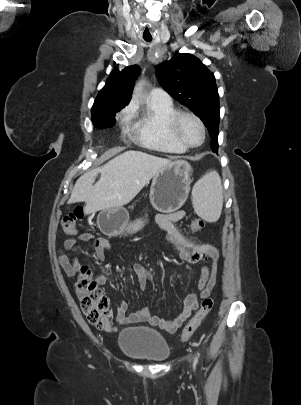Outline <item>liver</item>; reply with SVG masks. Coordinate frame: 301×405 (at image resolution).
<instances>
[{
    "mask_svg": "<svg viewBox=\"0 0 301 405\" xmlns=\"http://www.w3.org/2000/svg\"><path fill=\"white\" fill-rule=\"evenodd\" d=\"M169 160L140 151H126L90 170L75 183L70 203L85 202V214L118 209L131 202ZM101 177L94 184L98 174Z\"/></svg>",
    "mask_w": 301,
    "mask_h": 405,
    "instance_id": "6515ba94",
    "label": "liver"
}]
</instances>
